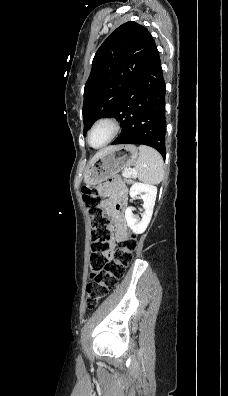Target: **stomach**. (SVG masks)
Listing matches in <instances>:
<instances>
[{
  "mask_svg": "<svg viewBox=\"0 0 228 396\" xmlns=\"http://www.w3.org/2000/svg\"><path fill=\"white\" fill-rule=\"evenodd\" d=\"M138 159V149L133 144L113 146L90 163L84 175V182L97 185L121 170L133 166Z\"/></svg>",
  "mask_w": 228,
  "mask_h": 396,
  "instance_id": "0dacf381",
  "label": "stomach"
}]
</instances>
